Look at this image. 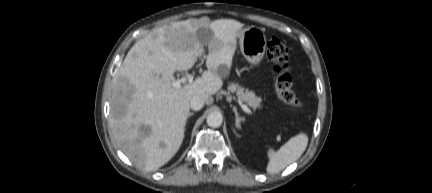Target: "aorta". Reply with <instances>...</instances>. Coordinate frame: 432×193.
Here are the masks:
<instances>
[{"label": "aorta", "mask_w": 432, "mask_h": 193, "mask_svg": "<svg viewBox=\"0 0 432 193\" xmlns=\"http://www.w3.org/2000/svg\"><path fill=\"white\" fill-rule=\"evenodd\" d=\"M207 125L213 128L220 127L223 123V116L220 112H211L206 118Z\"/></svg>", "instance_id": "aorta-1"}]
</instances>
